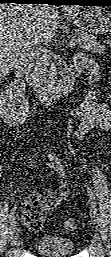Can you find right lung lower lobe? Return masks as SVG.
Instances as JSON below:
<instances>
[{
  "instance_id": "98d812e1",
  "label": "right lung lower lobe",
  "mask_w": 111,
  "mask_h": 257,
  "mask_svg": "<svg viewBox=\"0 0 111 257\" xmlns=\"http://www.w3.org/2000/svg\"><path fill=\"white\" fill-rule=\"evenodd\" d=\"M53 0H0V3H22V4H52Z\"/></svg>"
}]
</instances>
